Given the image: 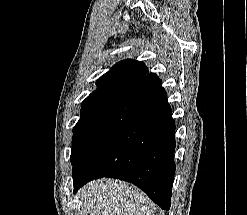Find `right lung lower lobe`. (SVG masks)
<instances>
[{
    "instance_id": "98d812e1",
    "label": "right lung lower lobe",
    "mask_w": 247,
    "mask_h": 215,
    "mask_svg": "<svg viewBox=\"0 0 247 215\" xmlns=\"http://www.w3.org/2000/svg\"><path fill=\"white\" fill-rule=\"evenodd\" d=\"M175 121L167 94L150 73L127 89L89 130L74 160V193L112 177L133 183L162 209L171 206L175 174Z\"/></svg>"
}]
</instances>
